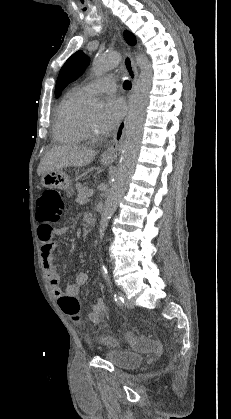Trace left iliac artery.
Wrapping results in <instances>:
<instances>
[{
  "label": "left iliac artery",
  "instance_id": "44dca946",
  "mask_svg": "<svg viewBox=\"0 0 231 419\" xmlns=\"http://www.w3.org/2000/svg\"><path fill=\"white\" fill-rule=\"evenodd\" d=\"M102 273H103V276H104V278H105V280H106V282H107L108 286L110 287L111 292H112V293H113V295H114V300H115V302H116L118 305H122V304L124 303V298H123V297H121V296H120V294H117V293L114 291V289H113V287H112V283H111L110 277H109V275H108V271H107V269H106V267H105L104 265L102 266Z\"/></svg>",
  "mask_w": 231,
  "mask_h": 419
}]
</instances>
